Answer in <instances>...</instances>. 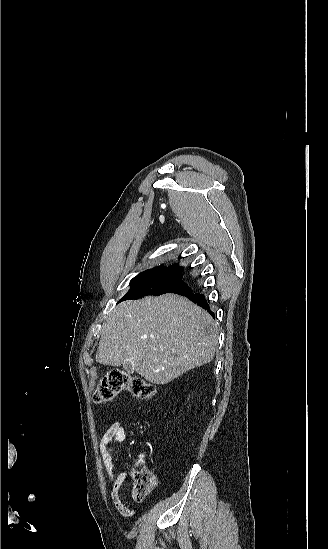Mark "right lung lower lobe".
<instances>
[{
    "label": "right lung lower lobe",
    "mask_w": 328,
    "mask_h": 549,
    "mask_svg": "<svg viewBox=\"0 0 328 549\" xmlns=\"http://www.w3.org/2000/svg\"><path fill=\"white\" fill-rule=\"evenodd\" d=\"M180 295L186 296L190 300L196 302L199 306L208 310L212 315H214V313L210 310L209 305L203 294H195V293H192V291H190V292H184L183 294H180Z\"/></svg>",
    "instance_id": "1"
}]
</instances>
